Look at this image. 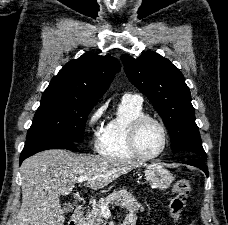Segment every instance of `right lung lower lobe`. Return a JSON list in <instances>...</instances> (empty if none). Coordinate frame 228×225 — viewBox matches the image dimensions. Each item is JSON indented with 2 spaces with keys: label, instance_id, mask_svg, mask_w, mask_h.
I'll list each match as a JSON object with an SVG mask.
<instances>
[{
  "label": "right lung lower lobe",
  "instance_id": "1",
  "mask_svg": "<svg viewBox=\"0 0 228 225\" xmlns=\"http://www.w3.org/2000/svg\"><path fill=\"white\" fill-rule=\"evenodd\" d=\"M69 149L77 151L73 141L67 138L46 136L31 140H26L24 149L20 155V164L22 161L31 155L48 149Z\"/></svg>",
  "mask_w": 228,
  "mask_h": 225
}]
</instances>
